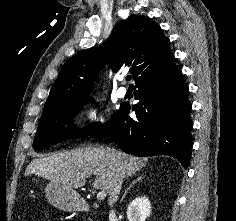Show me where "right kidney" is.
<instances>
[{
	"label": "right kidney",
	"instance_id": "ca27d5eb",
	"mask_svg": "<svg viewBox=\"0 0 236 221\" xmlns=\"http://www.w3.org/2000/svg\"><path fill=\"white\" fill-rule=\"evenodd\" d=\"M151 205L146 197H137L128 205L127 218L129 221H145L150 216Z\"/></svg>",
	"mask_w": 236,
	"mask_h": 221
}]
</instances>
